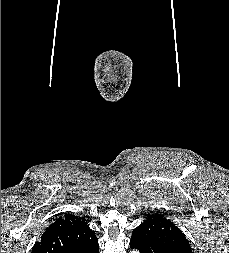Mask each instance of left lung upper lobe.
I'll return each mask as SVG.
<instances>
[{
  "mask_svg": "<svg viewBox=\"0 0 229 253\" xmlns=\"http://www.w3.org/2000/svg\"><path fill=\"white\" fill-rule=\"evenodd\" d=\"M131 241L146 250L162 253H192L182 231L164 215L146 214L132 233Z\"/></svg>",
  "mask_w": 229,
  "mask_h": 253,
  "instance_id": "obj_1",
  "label": "left lung upper lobe"
}]
</instances>
